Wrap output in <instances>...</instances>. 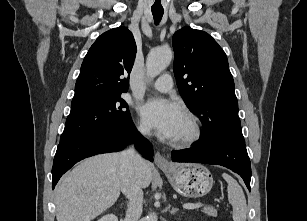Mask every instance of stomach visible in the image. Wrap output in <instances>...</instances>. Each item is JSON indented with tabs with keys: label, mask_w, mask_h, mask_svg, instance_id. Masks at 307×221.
<instances>
[{
	"label": "stomach",
	"mask_w": 307,
	"mask_h": 221,
	"mask_svg": "<svg viewBox=\"0 0 307 221\" xmlns=\"http://www.w3.org/2000/svg\"><path fill=\"white\" fill-rule=\"evenodd\" d=\"M173 188L187 197L206 195L213 186L210 171L201 164H175L170 169H163Z\"/></svg>",
	"instance_id": "stomach-1"
}]
</instances>
